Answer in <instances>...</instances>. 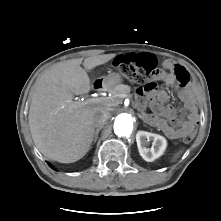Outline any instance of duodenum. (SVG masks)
<instances>
[{
    "label": "duodenum",
    "mask_w": 221,
    "mask_h": 221,
    "mask_svg": "<svg viewBox=\"0 0 221 221\" xmlns=\"http://www.w3.org/2000/svg\"><path fill=\"white\" fill-rule=\"evenodd\" d=\"M94 88L97 89L98 91H105L107 90L108 86L106 83L102 81H97L94 83Z\"/></svg>",
    "instance_id": "1"
}]
</instances>
